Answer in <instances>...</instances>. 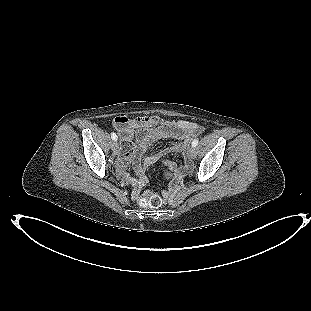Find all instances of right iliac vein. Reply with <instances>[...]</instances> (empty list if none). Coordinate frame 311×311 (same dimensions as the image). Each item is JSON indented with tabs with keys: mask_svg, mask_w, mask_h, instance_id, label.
Wrapping results in <instances>:
<instances>
[{
	"mask_svg": "<svg viewBox=\"0 0 311 311\" xmlns=\"http://www.w3.org/2000/svg\"><path fill=\"white\" fill-rule=\"evenodd\" d=\"M118 149H119V143L117 141H114L112 143V150H113V152L116 153L118 151Z\"/></svg>",
	"mask_w": 311,
	"mask_h": 311,
	"instance_id": "right-iliac-vein-1",
	"label": "right iliac vein"
}]
</instances>
